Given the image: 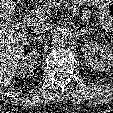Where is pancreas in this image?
I'll use <instances>...</instances> for the list:
<instances>
[{
	"instance_id": "cf45deb5",
	"label": "pancreas",
	"mask_w": 113,
	"mask_h": 113,
	"mask_svg": "<svg viewBox=\"0 0 113 113\" xmlns=\"http://www.w3.org/2000/svg\"><path fill=\"white\" fill-rule=\"evenodd\" d=\"M59 5H63L64 8L71 11L74 16L79 15L77 7L65 0H47L37 7L34 13L37 17H40V21H45L46 15L50 13L51 8Z\"/></svg>"
}]
</instances>
